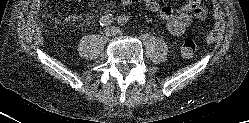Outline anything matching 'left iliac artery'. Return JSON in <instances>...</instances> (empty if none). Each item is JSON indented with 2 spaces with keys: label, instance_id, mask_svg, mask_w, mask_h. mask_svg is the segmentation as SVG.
<instances>
[{
  "label": "left iliac artery",
  "instance_id": "1",
  "mask_svg": "<svg viewBox=\"0 0 249 123\" xmlns=\"http://www.w3.org/2000/svg\"><path fill=\"white\" fill-rule=\"evenodd\" d=\"M129 18L126 15H121L118 18V24L123 26L128 22Z\"/></svg>",
  "mask_w": 249,
  "mask_h": 123
}]
</instances>
